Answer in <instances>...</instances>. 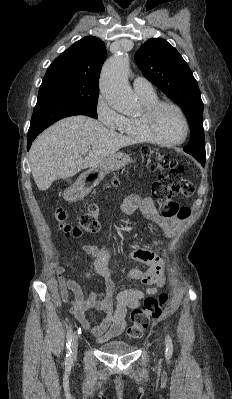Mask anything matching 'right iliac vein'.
I'll return each mask as SVG.
<instances>
[{
	"label": "right iliac vein",
	"instance_id": "right-iliac-vein-1",
	"mask_svg": "<svg viewBox=\"0 0 232 399\" xmlns=\"http://www.w3.org/2000/svg\"><path fill=\"white\" fill-rule=\"evenodd\" d=\"M77 340H78V337H77V336H74V337H73V344H72V347H73V348H76V347H77V345H78Z\"/></svg>",
	"mask_w": 232,
	"mask_h": 399
}]
</instances>
